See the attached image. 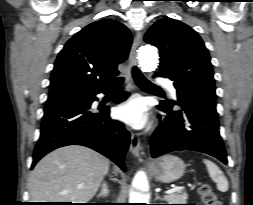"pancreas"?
<instances>
[{"label":"pancreas","instance_id":"cf45deb5","mask_svg":"<svg viewBox=\"0 0 253 205\" xmlns=\"http://www.w3.org/2000/svg\"><path fill=\"white\" fill-rule=\"evenodd\" d=\"M164 200L170 204H184L187 200V194L181 190L164 196Z\"/></svg>","mask_w":253,"mask_h":205}]
</instances>
